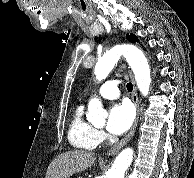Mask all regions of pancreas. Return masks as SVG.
<instances>
[{
  "label": "pancreas",
  "mask_w": 194,
  "mask_h": 178,
  "mask_svg": "<svg viewBox=\"0 0 194 178\" xmlns=\"http://www.w3.org/2000/svg\"><path fill=\"white\" fill-rule=\"evenodd\" d=\"M77 178H83V177L79 176V177H77Z\"/></svg>",
  "instance_id": "1"
}]
</instances>
